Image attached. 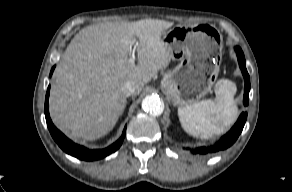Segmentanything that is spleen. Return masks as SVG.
Segmentation results:
<instances>
[{
    "mask_svg": "<svg viewBox=\"0 0 292 192\" xmlns=\"http://www.w3.org/2000/svg\"><path fill=\"white\" fill-rule=\"evenodd\" d=\"M215 100H202L179 107L182 128L188 134L202 139L222 134L235 122L238 109L234 103L237 88L234 82L221 79L215 84Z\"/></svg>",
    "mask_w": 292,
    "mask_h": 192,
    "instance_id": "obj_1",
    "label": "spleen"
}]
</instances>
